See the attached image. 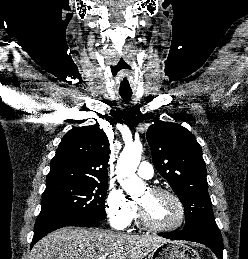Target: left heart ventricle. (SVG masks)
<instances>
[{"mask_svg": "<svg viewBox=\"0 0 248 259\" xmlns=\"http://www.w3.org/2000/svg\"><path fill=\"white\" fill-rule=\"evenodd\" d=\"M148 219L158 226H170L177 222L179 209L175 201L162 193H151L146 190L138 199Z\"/></svg>", "mask_w": 248, "mask_h": 259, "instance_id": "left-heart-ventricle-1", "label": "left heart ventricle"}]
</instances>
